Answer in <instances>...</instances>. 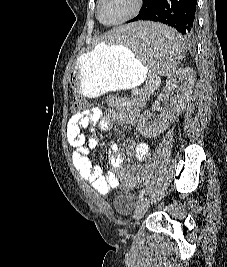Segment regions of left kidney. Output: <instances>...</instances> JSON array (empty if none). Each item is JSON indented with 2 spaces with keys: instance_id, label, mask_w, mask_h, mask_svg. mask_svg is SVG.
<instances>
[{
  "instance_id": "obj_1",
  "label": "left kidney",
  "mask_w": 227,
  "mask_h": 267,
  "mask_svg": "<svg viewBox=\"0 0 227 267\" xmlns=\"http://www.w3.org/2000/svg\"><path fill=\"white\" fill-rule=\"evenodd\" d=\"M194 84L195 71L192 68L185 67L174 71V77H168L166 80L164 92L175 91L176 94L170 96L168 106L161 108L157 120L150 121L152 113L149 110L144 111L138 124L139 131L146 137H155L164 132L185 109ZM161 97L162 94L159 99Z\"/></svg>"
}]
</instances>
